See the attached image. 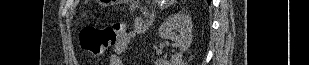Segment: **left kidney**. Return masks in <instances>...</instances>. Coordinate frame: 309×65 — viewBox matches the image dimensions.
I'll list each match as a JSON object with an SVG mask.
<instances>
[{
    "label": "left kidney",
    "instance_id": "obj_1",
    "mask_svg": "<svg viewBox=\"0 0 309 65\" xmlns=\"http://www.w3.org/2000/svg\"><path fill=\"white\" fill-rule=\"evenodd\" d=\"M192 20L186 14L169 16L159 27V36L163 39H170L179 48L180 52L171 57V61L159 59L157 65H181L183 53L190 47L193 39ZM178 33V34H177Z\"/></svg>",
    "mask_w": 309,
    "mask_h": 65
}]
</instances>
